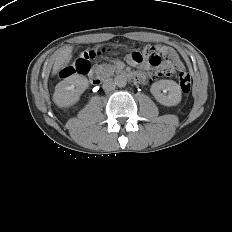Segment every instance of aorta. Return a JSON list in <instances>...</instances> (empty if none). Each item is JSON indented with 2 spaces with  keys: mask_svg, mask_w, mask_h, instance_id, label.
I'll list each match as a JSON object with an SVG mask.
<instances>
[{
  "mask_svg": "<svg viewBox=\"0 0 232 232\" xmlns=\"http://www.w3.org/2000/svg\"><path fill=\"white\" fill-rule=\"evenodd\" d=\"M115 84L118 87H125L127 85V77L125 75H118L115 78Z\"/></svg>",
  "mask_w": 232,
  "mask_h": 232,
  "instance_id": "1",
  "label": "aorta"
}]
</instances>
